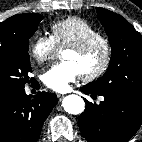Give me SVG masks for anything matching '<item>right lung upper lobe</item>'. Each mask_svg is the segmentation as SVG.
<instances>
[{
    "mask_svg": "<svg viewBox=\"0 0 142 142\" xmlns=\"http://www.w3.org/2000/svg\"><path fill=\"white\" fill-rule=\"evenodd\" d=\"M22 14L12 16L7 20L0 23V29L5 28H14L16 21L21 17ZM9 96L3 93H0V104H2Z\"/></svg>",
    "mask_w": 142,
    "mask_h": 142,
    "instance_id": "obj_1",
    "label": "right lung upper lobe"
}]
</instances>
